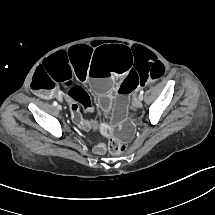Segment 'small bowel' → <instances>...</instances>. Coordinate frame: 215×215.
<instances>
[{
  "label": "small bowel",
  "instance_id": "1",
  "mask_svg": "<svg viewBox=\"0 0 215 215\" xmlns=\"http://www.w3.org/2000/svg\"><path fill=\"white\" fill-rule=\"evenodd\" d=\"M66 100H68L70 97H69V94L68 93H65V94H61ZM133 99H134V97H133ZM135 100V99H134ZM89 122V128L90 127H93V126H95V123L94 122H90V121H88ZM105 146L103 145V146H97V148H96V152L97 153H99V154H103L104 152H105Z\"/></svg>",
  "mask_w": 215,
  "mask_h": 215
}]
</instances>
